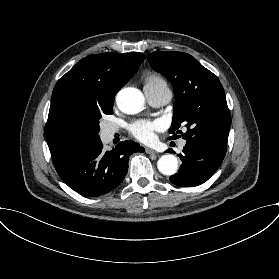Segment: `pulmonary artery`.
Masks as SVG:
<instances>
[{"label":"pulmonary artery","instance_id":"pulmonary-artery-1","mask_svg":"<svg viewBox=\"0 0 279 279\" xmlns=\"http://www.w3.org/2000/svg\"><path fill=\"white\" fill-rule=\"evenodd\" d=\"M144 93L148 102L155 107L164 105L172 97V92L166 81H162L160 83L153 84V85H145ZM118 130H119L118 127L113 124H109L105 126V134L108 136L114 135L115 133L118 132ZM183 146L184 143L181 145V147Z\"/></svg>","mask_w":279,"mask_h":279}]
</instances>
